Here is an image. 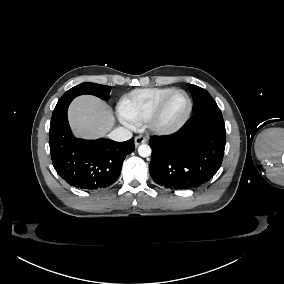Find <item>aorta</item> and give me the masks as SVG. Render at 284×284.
I'll use <instances>...</instances> for the list:
<instances>
[{"label":"aorta","instance_id":"obj_1","mask_svg":"<svg viewBox=\"0 0 284 284\" xmlns=\"http://www.w3.org/2000/svg\"><path fill=\"white\" fill-rule=\"evenodd\" d=\"M151 148L149 145L147 144H141L139 147H138V154L141 156V157H148L151 155Z\"/></svg>","mask_w":284,"mask_h":284}]
</instances>
